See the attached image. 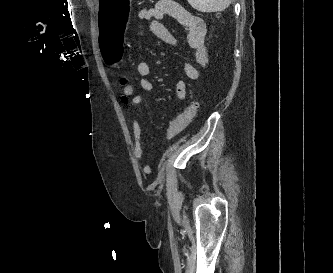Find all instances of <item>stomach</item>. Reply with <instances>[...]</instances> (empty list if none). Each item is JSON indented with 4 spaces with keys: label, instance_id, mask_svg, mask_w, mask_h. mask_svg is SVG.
Returning a JSON list of instances; mask_svg holds the SVG:
<instances>
[{
    "label": "stomach",
    "instance_id": "stomach-1",
    "mask_svg": "<svg viewBox=\"0 0 333 273\" xmlns=\"http://www.w3.org/2000/svg\"><path fill=\"white\" fill-rule=\"evenodd\" d=\"M132 0H97L95 7L99 38H124L131 28L133 16L130 12ZM98 50L106 65H123L125 60L124 39H99Z\"/></svg>",
    "mask_w": 333,
    "mask_h": 273
}]
</instances>
